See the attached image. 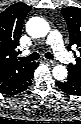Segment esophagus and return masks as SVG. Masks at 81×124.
Instances as JSON below:
<instances>
[{
	"mask_svg": "<svg viewBox=\"0 0 81 124\" xmlns=\"http://www.w3.org/2000/svg\"><path fill=\"white\" fill-rule=\"evenodd\" d=\"M45 61H46V63H48L49 65H55V64H56V62L53 61V60L46 59Z\"/></svg>",
	"mask_w": 81,
	"mask_h": 124,
	"instance_id": "esophagus-1",
	"label": "esophagus"
}]
</instances>
